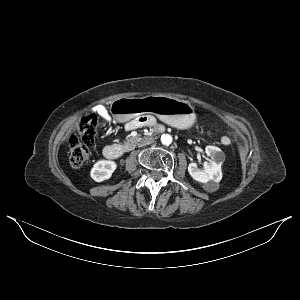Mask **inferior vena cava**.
I'll return each mask as SVG.
<instances>
[{
  "instance_id": "1",
  "label": "inferior vena cava",
  "mask_w": 300,
  "mask_h": 300,
  "mask_svg": "<svg viewBox=\"0 0 300 300\" xmlns=\"http://www.w3.org/2000/svg\"><path fill=\"white\" fill-rule=\"evenodd\" d=\"M154 142V139L152 137H146V138H142L139 143H138V146L139 147H142V146H145V145H149L151 143Z\"/></svg>"
}]
</instances>
